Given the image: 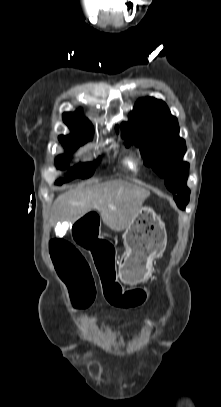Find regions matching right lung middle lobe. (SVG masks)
Segmentation results:
<instances>
[{
    "instance_id": "1",
    "label": "right lung middle lobe",
    "mask_w": 221,
    "mask_h": 407,
    "mask_svg": "<svg viewBox=\"0 0 221 407\" xmlns=\"http://www.w3.org/2000/svg\"><path fill=\"white\" fill-rule=\"evenodd\" d=\"M68 153H71L82 144L62 142ZM70 157L67 155H59L56 158V167L59 169H65L68 167V161ZM97 161L93 163H80L69 169L64 179H59L56 184L60 185L64 182L70 181L74 178H88L94 173Z\"/></svg>"
}]
</instances>
